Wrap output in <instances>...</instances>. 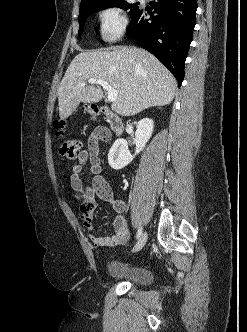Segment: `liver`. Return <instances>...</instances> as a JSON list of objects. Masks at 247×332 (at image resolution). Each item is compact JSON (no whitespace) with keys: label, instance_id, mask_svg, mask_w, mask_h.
I'll list each match as a JSON object with an SVG mask.
<instances>
[{"label":"liver","instance_id":"obj_1","mask_svg":"<svg viewBox=\"0 0 247 332\" xmlns=\"http://www.w3.org/2000/svg\"><path fill=\"white\" fill-rule=\"evenodd\" d=\"M89 79H101L117 90L111 108L121 116L168 105L177 88L174 76L141 48L116 46L81 52L71 61L58 87L61 120L68 118L80 102L97 103L103 98V90L96 83L89 84Z\"/></svg>","mask_w":247,"mask_h":332}]
</instances>
